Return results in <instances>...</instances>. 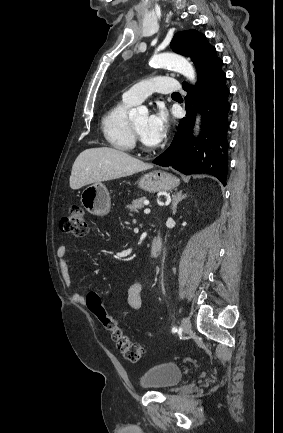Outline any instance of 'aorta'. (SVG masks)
<instances>
[{
  "label": "aorta",
  "instance_id": "762f6f07",
  "mask_svg": "<svg viewBox=\"0 0 283 433\" xmlns=\"http://www.w3.org/2000/svg\"><path fill=\"white\" fill-rule=\"evenodd\" d=\"M150 65L156 67L171 68L172 70L185 76L191 83L196 82V73L192 64L180 55L174 53L156 54L151 58ZM146 113V108L138 107L136 109L130 110L129 118L136 119L137 117ZM196 122H200V116L197 117ZM196 128H199V125H196Z\"/></svg>",
  "mask_w": 283,
  "mask_h": 433
}]
</instances>
